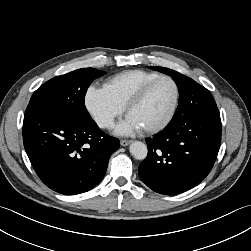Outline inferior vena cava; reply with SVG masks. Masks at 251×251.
I'll list each match as a JSON object with an SVG mask.
<instances>
[{
	"label": "inferior vena cava",
	"instance_id": "1",
	"mask_svg": "<svg viewBox=\"0 0 251 251\" xmlns=\"http://www.w3.org/2000/svg\"><path fill=\"white\" fill-rule=\"evenodd\" d=\"M102 126L112 127L113 122L111 120H105L103 121Z\"/></svg>",
	"mask_w": 251,
	"mask_h": 251
}]
</instances>
